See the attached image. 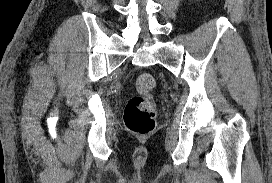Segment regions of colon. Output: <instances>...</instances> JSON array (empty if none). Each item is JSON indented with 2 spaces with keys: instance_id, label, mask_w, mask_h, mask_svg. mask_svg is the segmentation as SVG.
I'll use <instances>...</instances> for the list:
<instances>
[{
  "instance_id": "colon-1",
  "label": "colon",
  "mask_w": 272,
  "mask_h": 183,
  "mask_svg": "<svg viewBox=\"0 0 272 183\" xmlns=\"http://www.w3.org/2000/svg\"><path fill=\"white\" fill-rule=\"evenodd\" d=\"M138 95L131 97L126 105L124 122L127 129L139 135L149 134L155 127L156 109L151 91L155 79L149 73H142L136 79Z\"/></svg>"
}]
</instances>
